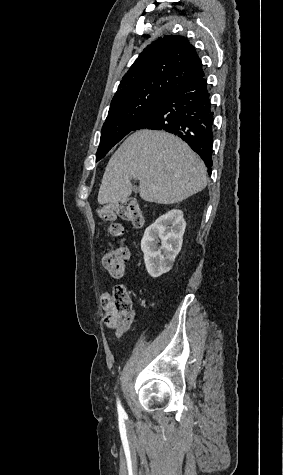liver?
<instances>
[{"mask_svg": "<svg viewBox=\"0 0 283 475\" xmlns=\"http://www.w3.org/2000/svg\"><path fill=\"white\" fill-rule=\"evenodd\" d=\"M140 180L145 202L176 204L207 186L206 168L191 148L168 132L139 130L110 158L102 178L99 204H124Z\"/></svg>", "mask_w": 283, "mask_h": 475, "instance_id": "obj_1", "label": "liver"}]
</instances>
